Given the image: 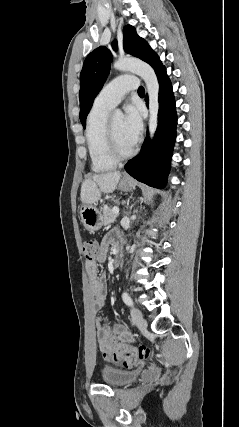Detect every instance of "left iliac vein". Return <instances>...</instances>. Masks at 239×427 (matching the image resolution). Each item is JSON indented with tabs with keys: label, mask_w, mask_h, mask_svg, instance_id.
<instances>
[{
	"label": "left iliac vein",
	"mask_w": 239,
	"mask_h": 427,
	"mask_svg": "<svg viewBox=\"0 0 239 427\" xmlns=\"http://www.w3.org/2000/svg\"><path fill=\"white\" fill-rule=\"evenodd\" d=\"M131 315L133 318V321L140 329H145L147 327V322L143 317L142 312L137 308L131 309Z\"/></svg>",
	"instance_id": "left-iliac-vein-1"
}]
</instances>
